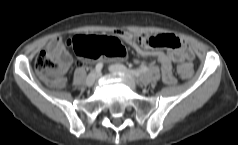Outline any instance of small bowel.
Segmentation results:
<instances>
[{
    "label": "small bowel",
    "mask_w": 238,
    "mask_h": 145,
    "mask_svg": "<svg viewBox=\"0 0 238 145\" xmlns=\"http://www.w3.org/2000/svg\"><path fill=\"white\" fill-rule=\"evenodd\" d=\"M115 34L131 46L140 56L155 58L161 64L162 78L168 85H173L176 82L173 75L174 63L186 62L184 64L191 66L188 61L193 58V52L189 44L175 35L162 34L150 36L147 33L133 34L122 29L117 30ZM52 46L54 48L50 49ZM155 48L171 49L173 52L167 53ZM48 49L62 63L63 71H66L72 65L73 59L60 38L53 39L48 45ZM79 64L82 65L83 62L80 61ZM61 81L63 82L62 78Z\"/></svg>",
    "instance_id": "1"
}]
</instances>
